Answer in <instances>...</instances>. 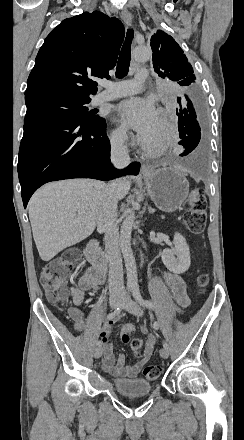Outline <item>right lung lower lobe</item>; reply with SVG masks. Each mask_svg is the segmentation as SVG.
<instances>
[{"mask_svg":"<svg viewBox=\"0 0 244 440\" xmlns=\"http://www.w3.org/2000/svg\"><path fill=\"white\" fill-rule=\"evenodd\" d=\"M17 169L26 208L32 194L47 182L112 180L138 174L140 164L132 163L122 171L112 166L105 119L96 117L88 123L55 111L33 109L25 115Z\"/></svg>","mask_w":244,"mask_h":440,"instance_id":"1","label":"right lung lower lobe"}]
</instances>
